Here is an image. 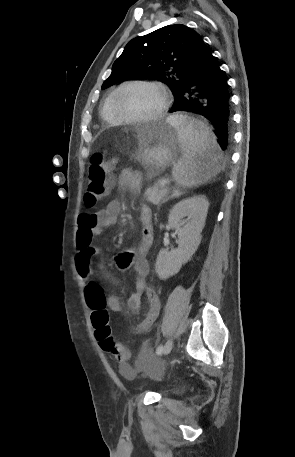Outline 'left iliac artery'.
<instances>
[{
	"label": "left iliac artery",
	"instance_id": "1",
	"mask_svg": "<svg viewBox=\"0 0 295 457\" xmlns=\"http://www.w3.org/2000/svg\"><path fill=\"white\" fill-rule=\"evenodd\" d=\"M163 349H164V347H163L162 345H160V346L157 348L156 353H157V354H161V353L163 352Z\"/></svg>",
	"mask_w": 295,
	"mask_h": 457
}]
</instances>
